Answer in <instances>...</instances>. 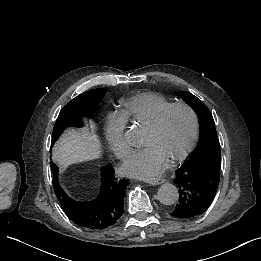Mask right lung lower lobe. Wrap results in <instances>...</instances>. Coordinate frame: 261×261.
<instances>
[{"mask_svg": "<svg viewBox=\"0 0 261 261\" xmlns=\"http://www.w3.org/2000/svg\"><path fill=\"white\" fill-rule=\"evenodd\" d=\"M102 189L93 201L78 202L70 198L57 182L53 186L56 196L66 215L76 224L87 229H105L123 214L127 180L117 179L111 166L102 168Z\"/></svg>", "mask_w": 261, "mask_h": 261, "instance_id": "right-lung-lower-lobe-1", "label": "right lung lower lobe"}]
</instances>
